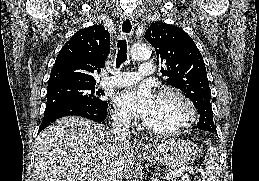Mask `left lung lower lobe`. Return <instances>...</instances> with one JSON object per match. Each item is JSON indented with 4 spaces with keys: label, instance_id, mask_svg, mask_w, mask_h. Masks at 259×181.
Here are the masks:
<instances>
[{
    "label": "left lung lower lobe",
    "instance_id": "left-lung-lower-lobe-1",
    "mask_svg": "<svg viewBox=\"0 0 259 181\" xmlns=\"http://www.w3.org/2000/svg\"><path fill=\"white\" fill-rule=\"evenodd\" d=\"M194 128H199L198 126L194 127ZM201 129V128H200ZM212 133H216L217 134V131H210ZM218 136V135H217Z\"/></svg>",
    "mask_w": 259,
    "mask_h": 181
}]
</instances>
